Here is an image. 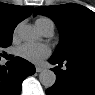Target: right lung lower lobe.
<instances>
[{
	"label": "right lung lower lobe",
	"instance_id": "1",
	"mask_svg": "<svg viewBox=\"0 0 95 95\" xmlns=\"http://www.w3.org/2000/svg\"><path fill=\"white\" fill-rule=\"evenodd\" d=\"M34 72L35 67L20 57L8 69L0 66V95H20L22 81Z\"/></svg>",
	"mask_w": 95,
	"mask_h": 95
}]
</instances>
